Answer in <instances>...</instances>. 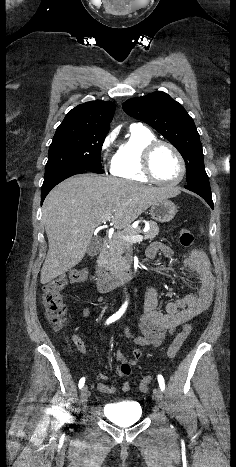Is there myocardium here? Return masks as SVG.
I'll use <instances>...</instances> for the list:
<instances>
[{"label":"myocardium","instance_id":"f54148a6","mask_svg":"<svg viewBox=\"0 0 236 467\" xmlns=\"http://www.w3.org/2000/svg\"><path fill=\"white\" fill-rule=\"evenodd\" d=\"M162 146L168 147L170 150H172L180 162V168H181L180 176L176 180L171 181V182L160 180L159 178H157V176L155 175L153 171V167H152L153 156L156 150ZM142 171L149 180H151L152 182L156 184L165 185V186H175V185L180 184L186 175V162L181 152L172 143L163 141V140H154L148 143L142 151Z\"/></svg>","mask_w":236,"mask_h":467}]
</instances>
